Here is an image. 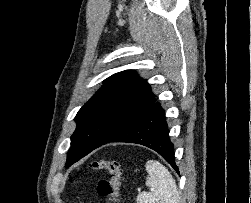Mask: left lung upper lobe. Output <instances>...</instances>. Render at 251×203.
<instances>
[{
  "label": "left lung upper lobe",
  "instance_id": "left-lung-upper-lobe-1",
  "mask_svg": "<svg viewBox=\"0 0 251 203\" xmlns=\"http://www.w3.org/2000/svg\"><path fill=\"white\" fill-rule=\"evenodd\" d=\"M103 83L75 117L66 167L105 144L155 102L150 85L133 70L116 73Z\"/></svg>",
  "mask_w": 251,
  "mask_h": 203
}]
</instances>
